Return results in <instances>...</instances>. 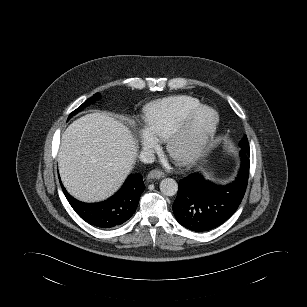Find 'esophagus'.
<instances>
[{
    "label": "esophagus",
    "mask_w": 307,
    "mask_h": 307,
    "mask_svg": "<svg viewBox=\"0 0 307 307\" xmlns=\"http://www.w3.org/2000/svg\"><path fill=\"white\" fill-rule=\"evenodd\" d=\"M164 177H165V174L160 170H152L147 175L148 179H161Z\"/></svg>",
    "instance_id": "34e87169"
}]
</instances>
